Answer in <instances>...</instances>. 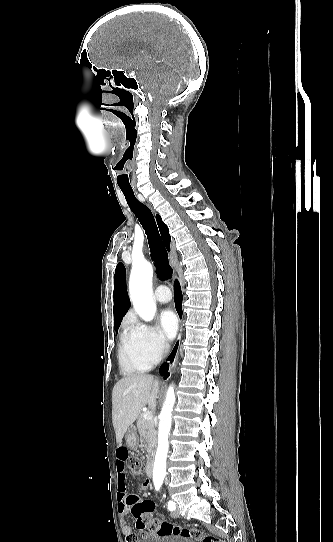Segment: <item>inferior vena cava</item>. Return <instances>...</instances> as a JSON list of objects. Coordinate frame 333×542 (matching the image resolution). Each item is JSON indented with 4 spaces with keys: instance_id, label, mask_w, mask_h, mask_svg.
<instances>
[{
    "instance_id": "602c4592",
    "label": "inferior vena cava",
    "mask_w": 333,
    "mask_h": 542,
    "mask_svg": "<svg viewBox=\"0 0 333 542\" xmlns=\"http://www.w3.org/2000/svg\"><path fill=\"white\" fill-rule=\"evenodd\" d=\"M164 346H165V348H168V346H169L168 342H164Z\"/></svg>"
}]
</instances>
